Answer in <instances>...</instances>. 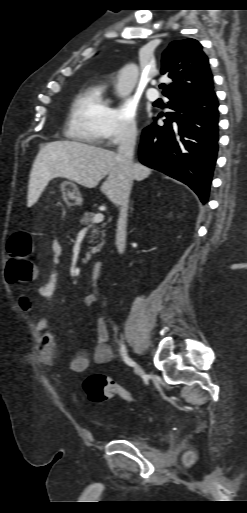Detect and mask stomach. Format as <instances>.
Wrapping results in <instances>:
<instances>
[{"mask_svg": "<svg viewBox=\"0 0 247 513\" xmlns=\"http://www.w3.org/2000/svg\"><path fill=\"white\" fill-rule=\"evenodd\" d=\"M62 190L65 197V201L68 205H78L82 201L79 189L73 182H63Z\"/></svg>", "mask_w": 247, "mask_h": 513, "instance_id": "1", "label": "stomach"}]
</instances>
